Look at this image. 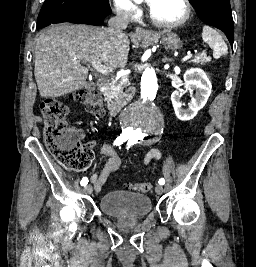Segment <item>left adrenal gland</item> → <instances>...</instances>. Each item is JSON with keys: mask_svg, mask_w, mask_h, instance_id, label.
Returning <instances> with one entry per match:
<instances>
[{"mask_svg": "<svg viewBox=\"0 0 256 267\" xmlns=\"http://www.w3.org/2000/svg\"><path fill=\"white\" fill-rule=\"evenodd\" d=\"M166 62H172V58H165Z\"/></svg>", "mask_w": 256, "mask_h": 267, "instance_id": "obj_1", "label": "left adrenal gland"}]
</instances>
